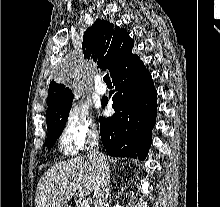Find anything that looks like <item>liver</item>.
Here are the masks:
<instances>
[{
  "label": "liver",
  "instance_id": "1",
  "mask_svg": "<svg viewBox=\"0 0 220 207\" xmlns=\"http://www.w3.org/2000/svg\"><path fill=\"white\" fill-rule=\"evenodd\" d=\"M96 178L95 167L85 157L56 164L38 182L35 207H64L74 195L91 194Z\"/></svg>",
  "mask_w": 220,
  "mask_h": 207
}]
</instances>
